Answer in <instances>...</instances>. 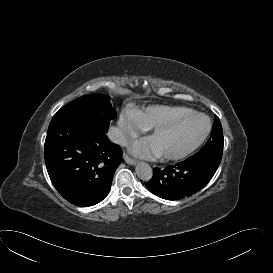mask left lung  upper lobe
<instances>
[{
  "label": "left lung upper lobe",
  "mask_w": 273,
  "mask_h": 273,
  "mask_svg": "<svg viewBox=\"0 0 273 273\" xmlns=\"http://www.w3.org/2000/svg\"><path fill=\"white\" fill-rule=\"evenodd\" d=\"M223 153V131L220 120L215 116L211 136L207 143L189 160L201 161L211 164L213 167L218 168Z\"/></svg>",
  "instance_id": "left-lung-upper-lobe-1"
}]
</instances>
